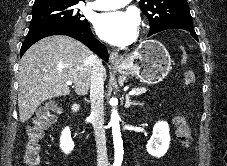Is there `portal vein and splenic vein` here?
I'll return each instance as SVG.
<instances>
[{
    "label": "portal vein and splenic vein",
    "instance_id": "portal-vein-and-splenic-vein-1",
    "mask_svg": "<svg viewBox=\"0 0 227 166\" xmlns=\"http://www.w3.org/2000/svg\"><path fill=\"white\" fill-rule=\"evenodd\" d=\"M66 84L69 86V85H72V81H67ZM137 93V90H131L129 92V95H135Z\"/></svg>",
    "mask_w": 227,
    "mask_h": 166
}]
</instances>
